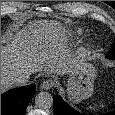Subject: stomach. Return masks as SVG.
<instances>
[{
  "label": "stomach",
  "mask_w": 115,
  "mask_h": 115,
  "mask_svg": "<svg viewBox=\"0 0 115 115\" xmlns=\"http://www.w3.org/2000/svg\"><path fill=\"white\" fill-rule=\"evenodd\" d=\"M97 76L95 66L82 59L81 62L69 74L67 82L68 98L73 103H79L92 96L94 92V80Z\"/></svg>",
  "instance_id": "1"
}]
</instances>
